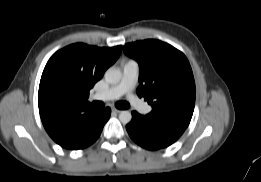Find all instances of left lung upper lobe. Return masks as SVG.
<instances>
[{
	"label": "left lung upper lobe",
	"mask_w": 261,
	"mask_h": 182,
	"mask_svg": "<svg viewBox=\"0 0 261 182\" xmlns=\"http://www.w3.org/2000/svg\"><path fill=\"white\" fill-rule=\"evenodd\" d=\"M123 51L139 64L137 95L152 106L146 117L186 129L194 111L195 82L185 55L153 39L128 43Z\"/></svg>",
	"instance_id": "left-lung-upper-lobe-1"
}]
</instances>
